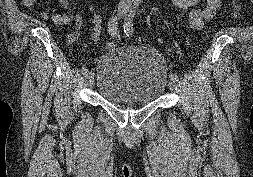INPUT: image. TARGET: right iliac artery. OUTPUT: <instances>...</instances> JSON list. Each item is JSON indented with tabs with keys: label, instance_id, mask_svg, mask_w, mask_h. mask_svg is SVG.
<instances>
[{
	"label": "right iliac artery",
	"instance_id": "obj_1",
	"mask_svg": "<svg viewBox=\"0 0 253 177\" xmlns=\"http://www.w3.org/2000/svg\"><path fill=\"white\" fill-rule=\"evenodd\" d=\"M108 31L109 34L113 37V38H119V31H118V16H112L108 22ZM94 73L92 71H88L86 73L87 77H90L91 75H93Z\"/></svg>",
	"mask_w": 253,
	"mask_h": 177
}]
</instances>
